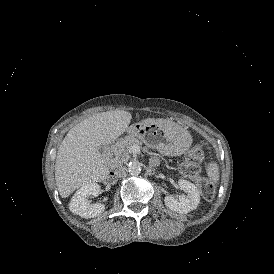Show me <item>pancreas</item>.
Instances as JSON below:
<instances>
[{
  "instance_id": "cf45deb5",
  "label": "pancreas",
  "mask_w": 274,
  "mask_h": 274,
  "mask_svg": "<svg viewBox=\"0 0 274 274\" xmlns=\"http://www.w3.org/2000/svg\"><path fill=\"white\" fill-rule=\"evenodd\" d=\"M132 145L140 146L141 142L134 136H126L111 147L110 151H107V155L109 157L112 155L111 159L113 160L114 166H120L128 162L130 158L129 148ZM142 151L148 153V149L146 147H143Z\"/></svg>"
}]
</instances>
